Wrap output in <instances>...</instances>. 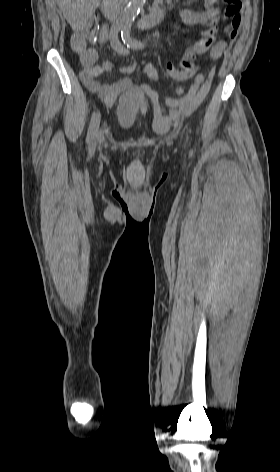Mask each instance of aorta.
I'll return each mask as SVG.
<instances>
[{
  "label": "aorta",
  "instance_id": "1",
  "mask_svg": "<svg viewBox=\"0 0 280 472\" xmlns=\"http://www.w3.org/2000/svg\"><path fill=\"white\" fill-rule=\"evenodd\" d=\"M145 2L146 0H131L127 4L118 21L122 29H128L131 27L132 22Z\"/></svg>",
  "mask_w": 280,
  "mask_h": 472
}]
</instances>
